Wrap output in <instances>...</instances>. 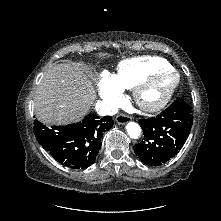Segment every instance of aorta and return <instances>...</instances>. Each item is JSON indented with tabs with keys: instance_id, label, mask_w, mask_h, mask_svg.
<instances>
[{
	"instance_id": "1",
	"label": "aorta",
	"mask_w": 221,
	"mask_h": 221,
	"mask_svg": "<svg viewBox=\"0 0 221 221\" xmlns=\"http://www.w3.org/2000/svg\"><path fill=\"white\" fill-rule=\"evenodd\" d=\"M126 130L130 138L137 139L141 134L140 126L135 122H129L126 125Z\"/></svg>"
}]
</instances>
